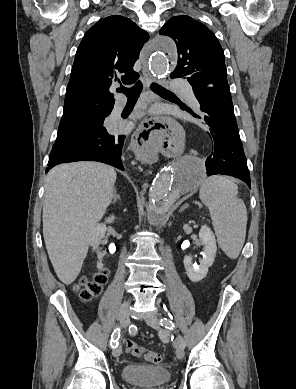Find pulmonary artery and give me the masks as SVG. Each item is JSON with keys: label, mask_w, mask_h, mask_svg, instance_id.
Here are the masks:
<instances>
[{"label": "pulmonary artery", "mask_w": 296, "mask_h": 389, "mask_svg": "<svg viewBox=\"0 0 296 389\" xmlns=\"http://www.w3.org/2000/svg\"><path fill=\"white\" fill-rule=\"evenodd\" d=\"M172 88L181 92L184 99L186 100V102L191 105L192 107L196 108V109H199L200 108V104L199 102L197 101L191 87L187 84H184L180 81H174L172 83ZM122 110V105H118L116 106L115 110H114V114H119Z\"/></svg>", "instance_id": "obj_1"}]
</instances>
